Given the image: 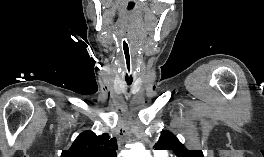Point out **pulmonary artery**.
<instances>
[{
	"label": "pulmonary artery",
	"mask_w": 264,
	"mask_h": 157,
	"mask_svg": "<svg viewBox=\"0 0 264 157\" xmlns=\"http://www.w3.org/2000/svg\"><path fill=\"white\" fill-rule=\"evenodd\" d=\"M157 155H158V157H160V156H165L166 155V153L164 152V151H158L157 152Z\"/></svg>",
	"instance_id": "obj_1"
}]
</instances>
